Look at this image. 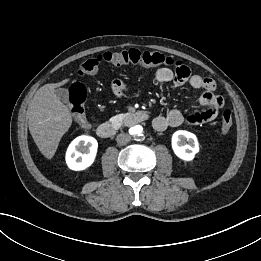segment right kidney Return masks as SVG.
Instances as JSON below:
<instances>
[{
    "mask_svg": "<svg viewBox=\"0 0 261 261\" xmlns=\"http://www.w3.org/2000/svg\"><path fill=\"white\" fill-rule=\"evenodd\" d=\"M98 142L95 138L82 135L75 138L66 152V163L75 171H80L92 165L97 154Z\"/></svg>",
    "mask_w": 261,
    "mask_h": 261,
    "instance_id": "right-kidney-1",
    "label": "right kidney"
}]
</instances>
